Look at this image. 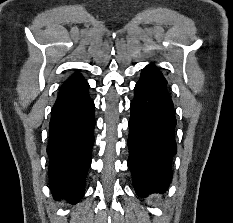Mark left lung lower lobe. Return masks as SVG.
Instances as JSON below:
<instances>
[{
	"mask_svg": "<svg viewBox=\"0 0 233 223\" xmlns=\"http://www.w3.org/2000/svg\"><path fill=\"white\" fill-rule=\"evenodd\" d=\"M166 86L159 69L148 65L142 70L130 106L128 166L140 197L166 191L172 178L176 118Z\"/></svg>",
	"mask_w": 233,
	"mask_h": 223,
	"instance_id": "1",
	"label": "left lung lower lobe"
}]
</instances>
